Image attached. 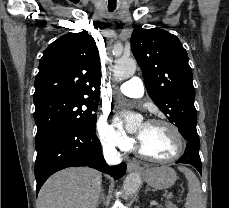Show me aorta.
<instances>
[{"mask_svg": "<svg viewBox=\"0 0 229 208\" xmlns=\"http://www.w3.org/2000/svg\"><path fill=\"white\" fill-rule=\"evenodd\" d=\"M136 61L134 59L122 58L114 66V77L118 80H124L131 77L136 71ZM141 119L140 115L128 114L127 126L132 127ZM141 185V176L139 173H130L124 180L123 190L127 196L135 194Z\"/></svg>", "mask_w": 229, "mask_h": 208, "instance_id": "1", "label": "aorta"}]
</instances>
